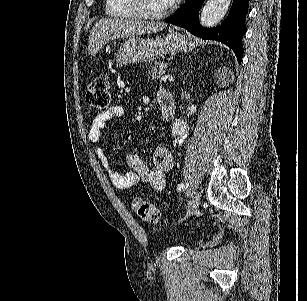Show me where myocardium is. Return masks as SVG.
I'll use <instances>...</instances> for the list:
<instances>
[{
    "label": "myocardium",
    "mask_w": 307,
    "mask_h": 301,
    "mask_svg": "<svg viewBox=\"0 0 307 301\" xmlns=\"http://www.w3.org/2000/svg\"><path fill=\"white\" fill-rule=\"evenodd\" d=\"M143 1V0H142ZM128 12H134L131 17H138L139 22H158L159 18L169 17L172 4H163L158 11H141L146 6L141 0H128Z\"/></svg>",
    "instance_id": "obj_1"
}]
</instances>
